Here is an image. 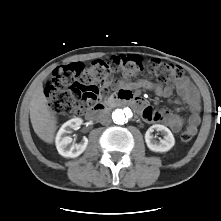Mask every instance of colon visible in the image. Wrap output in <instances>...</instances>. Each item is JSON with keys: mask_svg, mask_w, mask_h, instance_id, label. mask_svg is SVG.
<instances>
[{"mask_svg": "<svg viewBox=\"0 0 221 221\" xmlns=\"http://www.w3.org/2000/svg\"><path fill=\"white\" fill-rule=\"evenodd\" d=\"M145 69L159 84L168 88L184 76L183 69L178 65L158 59L144 62L134 55L98 59L89 65L74 62L56 68L47 80L44 91L47 106L57 114L74 113L77 109L89 107L98 99V84L105 82L111 72L122 71L127 76H134ZM193 136L191 131H184L181 140L188 142Z\"/></svg>", "mask_w": 221, "mask_h": 221, "instance_id": "5ec220e1", "label": "colon"}]
</instances>
